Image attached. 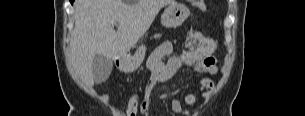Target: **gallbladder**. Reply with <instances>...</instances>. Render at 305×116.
<instances>
[{
	"mask_svg": "<svg viewBox=\"0 0 305 116\" xmlns=\"http://www.w3.org/2000/svg\"><path fill=\"white\" fill-rule=\"evenodd\" d=\"M113 68V61L103 55H95L92 62V71L96 84L104 83L110 76Z\"/></svg>",
	"mask_w": 305,
	"mask_h": 116,
	"instance_id": "obj_1",
	"label": "gallbladder"
}]
</instances>
